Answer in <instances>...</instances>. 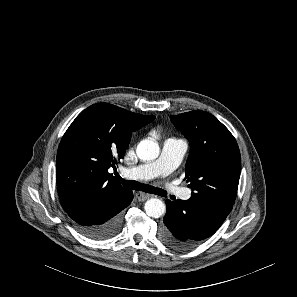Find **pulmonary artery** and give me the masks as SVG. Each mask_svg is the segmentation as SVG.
Masks as SVG:
<instances>
[{
    "label": "pulmonary artery",
    "instance_id": "obj_1",
    "mask_svg": "<svg viewBox=\"0 0 297 297\" xmlns=\"http://www.w3.org/2000/svg\"><path fill=\"white\" fill-rule=\"evenodd\" d=\"M188 144L179 138H168L162 145L159 158L149 164L136 166L129 169H122V174L131 179H153L165 177L173 172L181 163ZM164 190L180 199H189L191 190L183 188L175 183H166Z\"/></svg>",
    "mask_w": 297,
    "mask_h": 297
}]
</instances>
